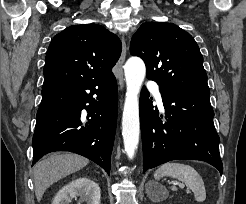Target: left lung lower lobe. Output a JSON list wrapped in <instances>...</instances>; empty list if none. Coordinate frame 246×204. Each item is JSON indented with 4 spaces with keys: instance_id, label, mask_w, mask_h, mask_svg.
I'll list each match as a JSON object with an SVG mask.
<instances>
[{
    "instance_id": "1",
    "label": "left lung lower lobe",
    "mask_w": 246,
    "mask_h": 204,
    "mask_svg": "<svg viewBox=\"0 0 246 204\" xmlns=\"http://www.w3.org/2000/svg\"><path fill=\"white\" fill-rule=\"evenodd\" d=\"M160 93L164 115L153 109L146 87L140 95L143 172L171 160L186 159L205 161L222 174L210 91L160 86Z\"/></svg>"
}]
</instances>
